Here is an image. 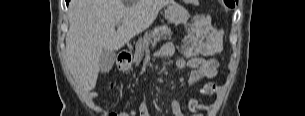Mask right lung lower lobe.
I'll return each mask as SVG.
<instances>
[{
	"instance_id": "1",
	"label": "right lung lower lobe",
	"mask_w": 305,
	"mask_h": 116,
	"mask_svg": "<svg viewBox=\"0 0 305 116\" xmlns=\"http://www.w3.org/2000/svg\"><path fill=\"white\" fill-rule=\"evenodd\" d=\"M69 0H66V3L68 4Z\"/></svg>"
}]
</instances>
